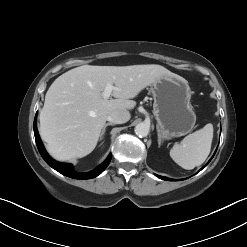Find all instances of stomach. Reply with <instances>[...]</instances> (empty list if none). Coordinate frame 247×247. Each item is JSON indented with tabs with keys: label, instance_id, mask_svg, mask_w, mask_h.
<instances>
[{
	"label": "stomach",
	"instance_id": "1",
	"mask_svg": "<svg viewBox=\"0 0 247 247\" xmlns=\"http://www.w3.org/2000/svg\"><path fill=\"white\" fill-rule=\"evenodd\" d=\"M153 113L162 138L169 140L188 134L196 115L190 104L191 90L180 76L162 75L151 84Z\"/></svg>",
	"mask_w": 247,
	"mask_h": 247
}]
</instances>
